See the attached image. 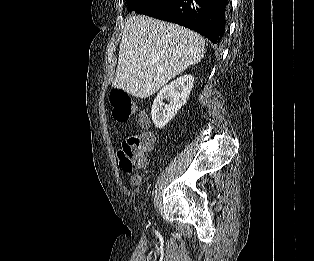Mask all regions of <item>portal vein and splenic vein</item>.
<instances>
[{
	"instance_id": "obj_1",
	"label": "portal vein and splenic vein",
	"mask_w": 314,
	"mask_h": 261,
	"mask_svg": "<svg viewBox=\"0 0 314 261\" xmlns=\"http://www.w3.org/2000/svg\"><path fill=\"white\" fill-rule=\"evenodd\" d=\"M159 71H163L162 69H158Z\"/></svg>"
}]
</instances>
